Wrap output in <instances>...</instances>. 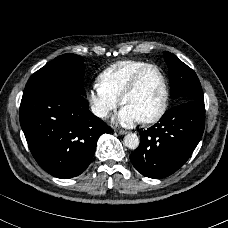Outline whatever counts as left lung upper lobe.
Returning a JSON list of instances; mask_svg holds the SVG:
<instances>
[{"label":"left lung upper lobe","instance_id":"obj_1","mask_svg":"<svg viewBox=\"0 0 228 228\" xmlns=\"http://www.w3.org/2000/svg\"><path fill=\"white\" fill-rule=\"evenodd\" d=\"M164 59L169 69L171 97H180L183 102L204 101L201 84L195 72L170 52H164Z\"/></svg>","mask_w":228,"mask_h":228}]
</instances>
